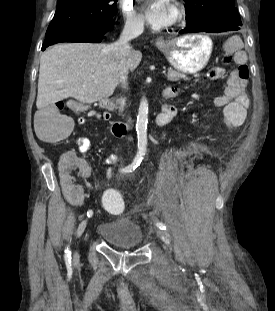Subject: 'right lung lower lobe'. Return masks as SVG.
Returning <instances> with one entry per match:
<instances>
[{"instance_id": "98d812e1", "label": "right lung lower lobe", "mask_w": 275, "mask_h": 311, "mask_svg": "<svg viewBox=\"0 0 275 311\" xmlns=\"http://www.w3.org/2000/svg\"><path fill=\"white\" fill-rule=\"evenodd\" d=\"M115 18L104 24H93L64 30L51 37L45 38L42 50L60 42H90L100 43L105 39V34L113 29Z\"/></svg>"}]
</instances>
